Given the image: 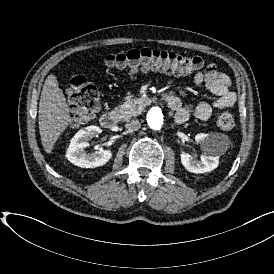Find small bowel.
<instances>
[{
    "instance_id": "c3829d8e",
    "label": "small bowel",
    "mask_w": 274,
    "mask_h": 274,
    "mask_svg": "<svg viewBox=\"0 0 274 274\" xmlns=\"http://www.w3.org/2000/svg\"><path fill=\"white\" fill-rule=\"evenodd\" d=\"M194 83L216 96V100L212 103L199 102L193 108L186 105H179L175 111V121L178 124L185 123L191 113L199 121H207L214 108H229L236 102V94L231 90L230 78L218 71L214 63H209L204 70L198 71L194 75Z\"/></svg>"
}]
</instances>
